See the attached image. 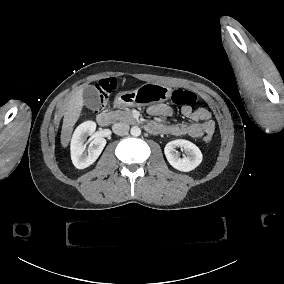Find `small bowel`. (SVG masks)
I'll return each instance as SVG.
<instances>
[{"instance_id":"c3829d8e","label":"small bowel","mask_w":284,"mask_h":284,"mask_svg":"<svg viewBox=\"0 0 284 284\" xmlns=\"http://www.w3.org/2000/svg\"><path fill=\"white\" fill-rule=\"evenodd\" d=\"M148 113L153 117H170L173 115V109L166 104H155L148 108ZM181 114L191 120V123H172L164 125L152 121L147 124V129L153 133L162 131L174 137L189 136L200 138L213 135L215 122L211 119V113L208 109L203 107L193 109L190 106H184L181 108Z\"/></svg>"}]
</instances>
